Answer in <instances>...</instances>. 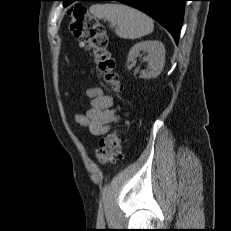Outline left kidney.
<instances>
[{
  "instance_id": "1",
  "label": "left kidney",
  "mask_w": 231,
  "mask_h": 231,
  "mask_svg": "<svg viewBox=\"0 0 231 231\" xmlns=\"http://www.w3.org/2000/svg\"><path fill=\"white\" fill-rule=\"evenodd\" d=\"M144 52L147 54L145 60L148 62L146 71H142L140 77L150 79L157 77L165 64V47L156 40H147L136 43L129 51L127 58V66L133 62L136 57Z\"/></svg>"
}]
</instances>
